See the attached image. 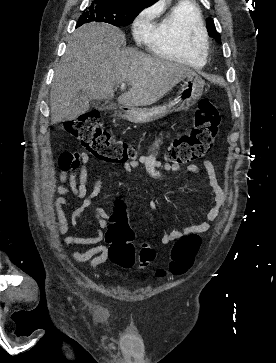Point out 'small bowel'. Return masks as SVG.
Wrapping results in <instances>:
<instances>
[{
	"label": "small bowel",
	"mask_w": 276,
	"mask_h": 363,
	"mask_svg": "<svg viewBox=\"0 0 276 363\" xmlns=\"http://www.w3.org/2000/svg\"><path fill=\"white\" fill-rule=\"evenodd\" d=\"M164 137L165 133H162L153 142L152 151L149 154L141 156L137 160L123 163V169L130 173L134 169L143 167L152 178L158 180L167 178L170 173H181L184 168H187V170L197 176H201L199 168L195 165H188L185 167L184 165L163 164L157 160L155 150L161 145ZM89 160L88 154L84 151H65L59 156L60 172L58 174V179L60 184L56 187V191L60 195L56 200L57 213L61 220L59 232L61 235H65L68 232L69 223L72 226H78L81 216L85 212L91 211L97 217L99 224V227L93 229L94 235L87 237L68 235L64 238V244L90 245L91 247L85 251H72L70 254L71 258L80 263L89 262L93 270L106 278H112L114 277L113 272L100 269V266L106 262L108 258V248L101 244V242L104 238L103 230L109 226L112 214L94 204V200L99 195L102 188L103 174L98 176L92 190L90 192L87 191V165ZM204 166L208 173L211 192L209 209L204 212L203 218L199 222L191 226L164 233L161 237L162 244H170L185 235L207 232L211 229L224 208L227 194L217 178L215 166L209 160L204 161ZM65 195H72L82 199V203L75 208L69 220L62 211V207L71 204L70 201L64 197ZM150 208L153 210L154 205H151Z\"/></svg>",
	"instance_id": "small-bowel-1"
}]
</instances>
